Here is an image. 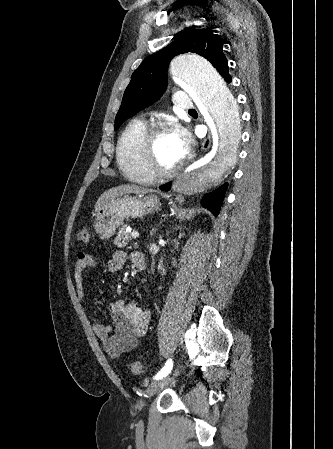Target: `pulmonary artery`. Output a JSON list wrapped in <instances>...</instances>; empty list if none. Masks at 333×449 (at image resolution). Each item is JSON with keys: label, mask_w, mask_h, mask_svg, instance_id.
<instances>
[{"label": "pulmonary artery", "mask_w": 333, "mask_h": 449, "mask_svg": "<svg viewBox=\"0 0 333 449\" xmlns=\"http://www.w3.org/2000/svg\"><path fill=\"white\" fill-rule=\"evenodd\" d=\"M175 104L184 110H191L194 106L189 94L185 91L177 92L174 96Z\"/></svg>", "instance_id": "1"}]
</instances>
